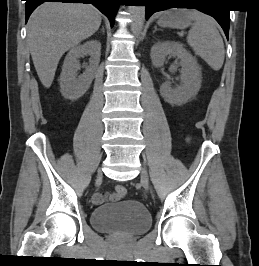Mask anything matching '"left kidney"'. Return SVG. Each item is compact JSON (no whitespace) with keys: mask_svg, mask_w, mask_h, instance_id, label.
<instances>
[{"mask_svg":"<svg viewBox=\"0 0 259 266\" xmlns=\"http://www.w3.org/2000/svg\"><path fill=\"white\" fill-rule=\"evenodd\" d=\"M177 57L182 67L181 85L172 89L169 82L160 87V94L164 100L172 105H182L194 97L202 82L199 64L181 43L175 41H159L151 49V60L155 67H162L166 57Z\"/></svg>","mask_w":259,"mask_h":266,"instance_id":"left-kidney-1","label":"left kidney"}]
</instances>
